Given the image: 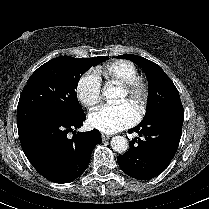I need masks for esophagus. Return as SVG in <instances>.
I'll return each instance as SVG.
<instances>
[{"label": "esophagus", "instance_id": "esophagus-1", "mask_svg": "<svg viewBox=\"0 0 209 209\" xmlns=\"http://www.w3.org/2000/svg\"><path fill=\"white\" fill-rule=\"evenodd\" d=\"M101 137H102V140L105 141V140L110 139L111 136L102 134Z\"/></svg>", "mask_w": 209, "mask_h": 209}]
</instances>
